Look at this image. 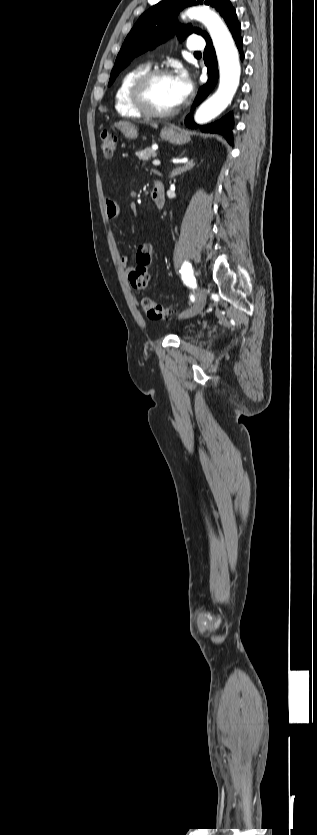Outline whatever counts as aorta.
Segmentation results:
<instances>
[{
	"instance_id": "obj_1",
	"label": "aorta",
	"mask_w": 317,
	"mask_h": 835,
	"mask_svg": "<svg viewBox=\"0 0 317 835\" xmlns=\"http://www.w3.org/2000/svg\"><path fill=\"white\" fill-rule=\"evenodd\" d=\"M184 16L195 18L207 28L212 39L219 66L217 91L196 111L195 121L205 124L219 116L231 103L239 85L241 67L233 38L221 18L204 6L189 8Z\"/></svg>"
}]
</instances>
